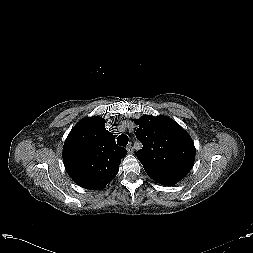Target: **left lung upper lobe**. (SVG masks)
I'll return each instance as SVG.
<instances>
[{
	"instance_id": "5c2ea615",
	"label": "left lung upper lobe",
	"mask_w": 253,
	"mask_h": 253,
	"mask_svg": "<svg viewBox=\"0 0 253 253\" xmlns=\"http://www.w3.org/2000/svg\"><path fill=\"white\" fill-rule=\"evenodd\" d=\"M134 122L143 144L136 155L145 171L189 173L195 160L194 142L179 124L166 116L149 115Z\"/></svg>"
}]
</instances>
